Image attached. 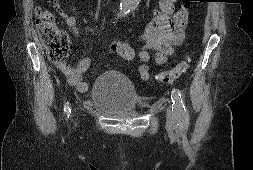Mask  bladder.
Here are the masks:
<instances>
[{
  "label": "bladder",
  "mask_w": 253,
  "mask_h": 170,
  "mask_svg": "<svg viewBox=\"0 0 253 170\" xmlns=\"http://www.w3.org/2000/svg\"><path fill=\"white\" fill-rule=\"evenodd\" d=\"M89 103L111 117H126L141 108L133 83L124 73L116 70H106L96 78L90 91Z\"/></svg>",
  "instance_id": "1"
}]
</instances>
